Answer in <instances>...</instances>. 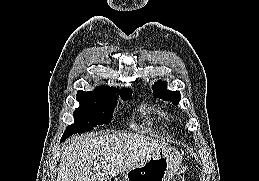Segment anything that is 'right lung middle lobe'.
Segmentation results:
<instances>
[{
	"label": "right lung middle lobe",
	"instance_id": "dd1d6c3e",
	"mask_svg": "<svg viewBox=\"0 0 259 181\" xmlns=\"http://www.w3.org/2000/svg\"><path fill=\"white\" fill-rule=\"evenodd\" d=\"M130 96L122 98L128 100ZM80 106L73 112L75 122L67 126L62 140L72 134L91 131L94 126L111 121L113 111L117 105L116 98L77 95Z\"/></svg>",
	"mask_w": 259,
	"mask_h": 181
}]
</instances>
